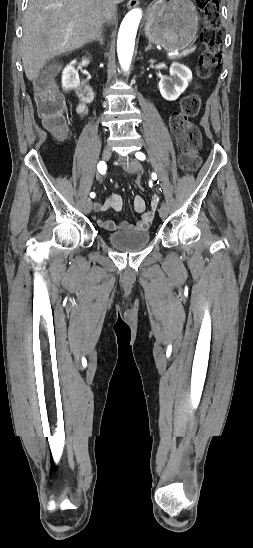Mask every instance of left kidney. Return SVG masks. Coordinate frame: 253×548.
Here are the masks:
<instances>
[{
	"label": "left kidney",
	"mask_w": 253,
	"mask_h": 548,
	"mask_svg": "<svg viewBox=\"0 0 253 548\" xmlns=\"http://www.w3.org/2000/svg\"><path fill=\"white\" fill-rule=\"evenodd\" d=\"M192 80L191 70L177 62L170 67V76L159 81V90L162 97L168 101H175L186 90Z\"/></svg>",
	"instance_id": "obj_1"
}]
</instances>
